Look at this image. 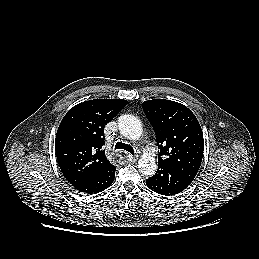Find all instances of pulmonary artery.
<instances>
[{
	"label": "pulmonary artery",
	"mask_w": 259,
	"mask_h": 259,
	"mask_svg": "<svg viewBox=\"0 0 259 259\" xmlns=\"http://www.w3.org/2000/svg\"><path fill=\"white\" fill-rule=\"evenodd\" d=\"M143 141L146 142L147 141L146 138Z\"/></svg>",
	"instance_id": "obj_1"
}]
</instances>
